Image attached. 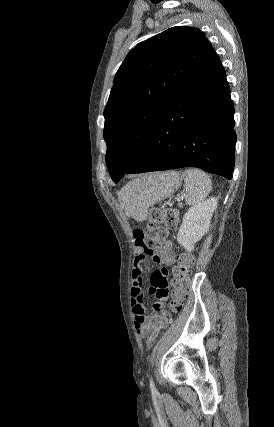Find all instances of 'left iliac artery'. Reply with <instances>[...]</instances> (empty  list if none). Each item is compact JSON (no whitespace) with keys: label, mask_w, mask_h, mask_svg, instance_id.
I'll list each match as a JSON object with an SVG mask.
<instances>
[{"label":"left iliac artery","mask_w":274,"mask_h":427,"mask_svg":"<svg viewBox=\"0 0 274 427\" xmlns=\"http://www.w3.org/2000/svg\"><path fill=\"white\" fill-rule=\"evenodd\" d=\"M150 389H151L152 394H156L158 392L157 388L155 386V383L151 377H150Z\"/></svg>","instance_id":"44dca946"}]
</instances>
